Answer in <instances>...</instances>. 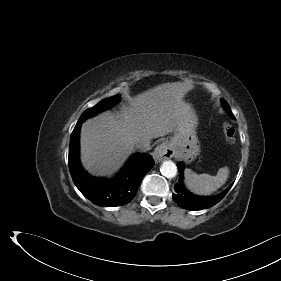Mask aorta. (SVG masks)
Returning a JSON list of instances; mask_svg holds the SVG:
<instances>
[{
	"mask_svg": "<svg viewBox=\"0 0 281 281\" xmlns=\"http://www.w3.org/2000/svg\"><path fill=\"white\" fill-rule=\"evenodd\" d=\"M160 171L163 176L173 178L177 174V166L173 161L166 160L163 162Z\"/></svg>",
	"mask_w": 281,
	"mask_h": 281,
	"instance_id": "762f6f07",
	"label": "aorta"
}]
</instances>
